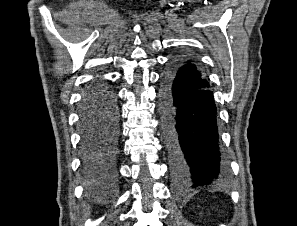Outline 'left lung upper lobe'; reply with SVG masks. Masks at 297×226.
Listing matches in <instances>:
<instances>
[{
	"instance_id": "5c2ea615",
	"label": "left lung upper lobe",
	"mask_w": 297,
	"mask_h": 226,
	"mask_svg": "<svg viewBox=\"0 0 297 226\" xmlns=\"http://www.w3.org/2000/svg\"><path fill=\"white\" fill-rule=\"evenodd\" d=\"M177 74L182 76L185 82L192 87H209V83L197 69L190 58L184 55L177 56Z\"/></svg>"
}]
</instances>
